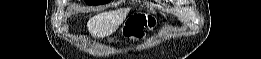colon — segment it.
Instances as JSON below:
<instances>
[{"instance_id": "obj_1", "label": "colon", "mask_w": 261, "mask_h": 59, "mask_svg": "<svg viewBox=\"0 0 261 59\" xmlns=\"http://www.w3.org/2000/svg\"><path fill=\"white\" fill-rule=\"evenodd\" d=\"M155 20L152 17L143 16L140 19H137L133 25V35L141 37L147 29L152 28L155 25Z\"/></svg>"}]
</instances>
